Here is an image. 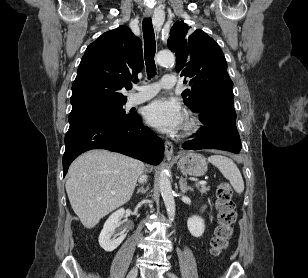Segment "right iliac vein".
<instances>
[{"label":"right iliac vein","mask_w":308,"mask_h":278,"mask_svg":"<svg viewBox=\"0 0 308 278\" xmlns=\"http://www.w3.org/2000/svg\"><path fill=\"white\" fill-rule=\"evenodd\" d=\"M137 274H138V267L135 266L130 270L126 278H137Z\"/></svg>","instance_id":"obj_1"}]
</instances>
